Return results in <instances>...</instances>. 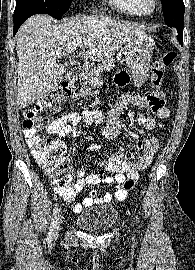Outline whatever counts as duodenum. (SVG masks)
Listing matches in <instances>:
<instances>
[{
    "label": "duodenum",
    "mask_w": 195,
    "mask_h": 270,
    "mask_svg": "<svg viewBox=\"0 0 195 270\" xmlns=\"http://www.w3.org/2000/svg\"><path fill=\"white\" fill-rule=\"evenodd\" d=\"M82 73L87 79H93L95 76V71L88 64H84L82 67Z\"/></svg>",
    "instance_id": "410a0bca"
}]
</instances>
